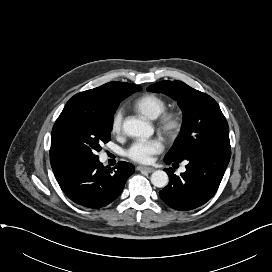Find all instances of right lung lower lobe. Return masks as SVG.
Here are the masks:
<instances>
[{
    "mask_svg": "<svg viewBox=\"0 0 272 272\" xmlns=\"http://www.w3.org/2000/svg\"><path fill=\"white\" fill-rule=\"evenodd\" d=\"M135 171V167L120 161L107 169L99 159L71 163L54 174L62 191L73 202L88 208H100L114 201Z\"/></svg>",
    "mask_w": 272,
    "mask_h": 272,
    "instance_id": "1",
    "label": "right lung lower lobe"
}]
</instances>
